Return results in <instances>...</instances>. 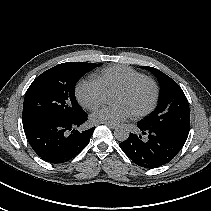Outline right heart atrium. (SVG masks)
<instances>
[{"label":"right heart atrium","mask_w":211,"mask_h":211,"mask_svg":"<svg viewBox=\"0 0 211 211\" xmlns=\"http://www.w3.org/2000/svg\"><path fill=\"white\" fill-rule=\"evenodd\" d=\"M76 96L82 106L91 110L105 100L106 89L96 77H89L78 83Z\"/></svg>","instance_id":"obj_1"}]
</instances>
